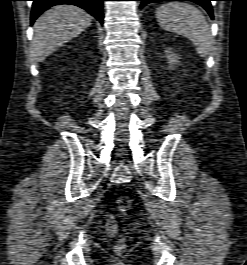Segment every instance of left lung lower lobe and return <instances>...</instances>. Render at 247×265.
Masks as SVG:
<instances>
[{
    "instance_id": "1",
    "label": "left lung lower lobe",
    "mask_w": 247,
    "mask_h": 265,
    "mask_svg": "<svg viewBox=\"0 0 247 265\" xmlns=\"http://www.w3.org/2000/svg\"><path fill=\"white\" fill-rule=\"evenodd\" d=\"M138 1H141L140 8H143L144 6H146L149 3L161 2V1H191V2H195L199 5H201L209 13L211 18L214 17L212 6L210 3V1H213V0H138Z\"/></svg>"
}]
</instances>
